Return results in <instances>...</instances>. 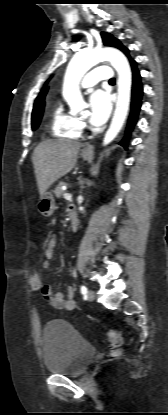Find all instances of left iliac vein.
Returning a JSON list of instances; mask_svg holds the SVG:
<instances>
[{
	"instance_id": "obj_1",
	"label": "left iliac vein",
	"mask_w": 168,
	"mask_h": 415,
	"mask_svg": "<svg viewBox=\"0 0 168 415\" xmlns=\"http://www.w3.org/2000/svg\"><path fill=\"white\" fill-rule=\"evenodd\" d=\"M87 299H88L89 301H93V300L95 299V292H94L92 289H90V290L87 292Z\"/></svg>"
}]
</instances>
